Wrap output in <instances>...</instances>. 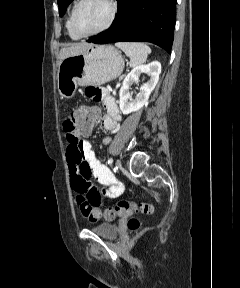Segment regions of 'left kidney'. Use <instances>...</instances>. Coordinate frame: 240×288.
<instances>
[{"label":"left kidney","mask_w":240,"mask_h":288,"mask_svg":"<svg viewBox=\"0 0 240 288\" xmlns=\"http://www.w3.org/2000/svg\"><path fill=\"white\" fill-rule=\"evenodd\" d=\"M147 74L150 78L144 83L140 92L135 98H132L130 92L131 86L139 82L141 74ZM161 73V64L158 61H153L146 65H139L132 69V71L125 77L122 87L119 91V106L123 114L127 115L141 109L148 101L151 92L156 87Z\"/></svg>","instance_id":"left-kidney-1"}]
</instances>
